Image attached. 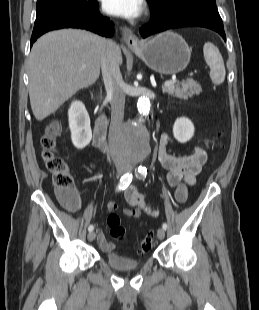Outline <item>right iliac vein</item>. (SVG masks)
<instances>
[{
    "instance_id": "obj_1",
    "label": "right iliac vein",
    "mask_w": 259,
    "mask_h": 310,
    "mask_svg": "<svg viewBox=\"0 0 259 310\" xmlns=\"http://www.w3.org/2000/svg\"><path fill=\"white\" fill-rule=\"evenodd\" d=\"M116 169H117L118 174H121V173L125 172L127 168L124 165H117ZM95 237H96V234L94 231H90L88 236H87V238L90 242H92L95 239Z\"/></svg>"
}]
</instances>
